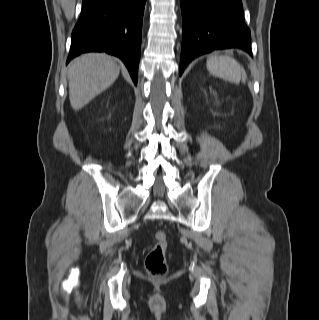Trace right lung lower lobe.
I'll use <instances>...</instances> for the list:
<instances>
[{
	"label": "right lung lower lobe",
	"mask_w": 319,
	"mask_h": 320,
	"mask_svg": "<svg viewBox=\"0 0 319 320\" xmlns=\"http://www.w3.org/2000/svg\"><path fill=\"white\" fill-rule=\"evenodd\" d=\"M146 0H83L67 63L83 52L105 51L122 59L137 84Z\"/></svg>",
	"instance_id": "right-lung-lower-lobe-1"
}]
</instances>
